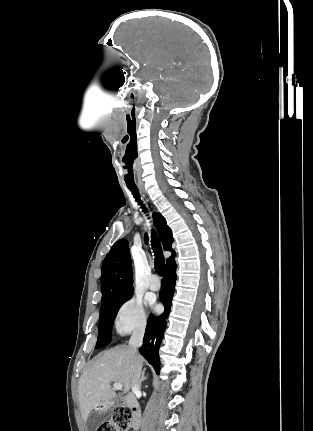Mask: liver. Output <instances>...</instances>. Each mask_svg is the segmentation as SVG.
Wrapping results in <instances>:
<instances>
[{
  "mask_svg": "<svg viewBox=\"0 0 313 431\" xmlns=\"http://www.w3.org/2000/svg\"><path fill=\"white\" fill-rule=\"evenodd\" d=\"M144 359L130 346L120 345L100 353L83 372L78 382L79 407L84 422L98 405L116 398L111 382H119L128 393L138 368Z\"/></svg>",
  "mask_w": 313,
  "mask_h": 431,
  "instance_id": "1",
  "label": "liver"
}]
</instances>
